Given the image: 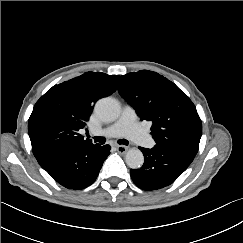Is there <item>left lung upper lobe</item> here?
I'll use <instances>...</instances> for the list:
<instances>
[{
  "instance_id": "1",
  "label": "left lung upper lobe",
  "mask_w": 243,
  "mask_h": 243,
  "mask_svg": "<svg viewBox=\"0 0 243 243\" xmlns=\"http://www.w3.org/2000/svg\"><path fill=\"white\" fill-rule=\"evenodd\" d=\"M120 94L141 120L152 122L156 144L199 145L202 123L196 107L173 82L156 72L141 70L121 76Z\"/></svg>"
}]
</instances>
